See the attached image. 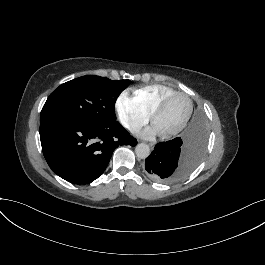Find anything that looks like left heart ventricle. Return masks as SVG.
Instances as JSON below:
<instances>
[{
    "label": "left heart ventricle",
    "mask_w": 265,
    "mask_h": 265,
    "mask_svg": "<svg viewBox=\"0 0 265 265\" xmlns=\"http://www.w3.org/2000/svg\"><path fill=\"white\" fill-rule=\"evenodd\" d=\"M186 109V101L181 96H174L159 111L155 127L159 132L174 128L183 118Z\"/></svg>",
    "instance_id": "obj_1"
}]
</instances>
